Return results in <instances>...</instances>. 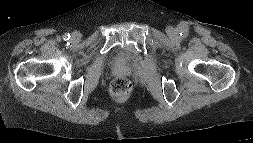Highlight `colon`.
Listing matches in <instances>:
<instances>
[{"label":"colon","instance_id":"colon-1","mask_svg":"<svg viewBox=\"0 0 253 143\" xmlns=\"http://www.w3.org/2000/svg\"><path fill=\"white\" fill-rule=\"evenodd\" d=\"M131 89L130 81L123 76L116 77L110 84V91L115 96H123Z\"/></svg>","mask_w":253,"mask_h":143}]
</instances>
